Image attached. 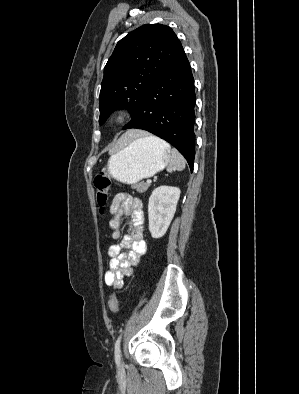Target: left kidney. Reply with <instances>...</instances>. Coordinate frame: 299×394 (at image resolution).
Returning a JSON list of instances; mask_svg holds the SVG:
<instances>
[{
    "instance_id": "obj_1",
    "label": "left kidney",
    "mask_w": 299,
    "mask_h": 394,
    "mask_svg": "<svg viewBox=\"0 0 299 394\" xmlns=\"http://www.w3.org/2000/svg\"><path fill=\"white\" fill-rule=\"evenodd\" d=\"M180 189L160 186L154 189L148 204L149 230L153 238L158 239L166 233L176 211Z\"/></svg>"
}]
</instances>
